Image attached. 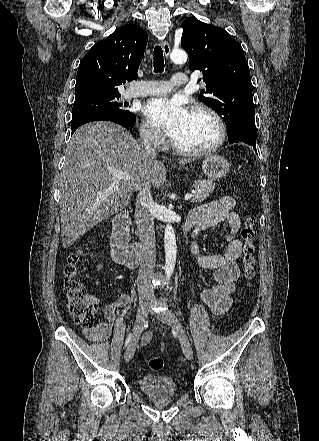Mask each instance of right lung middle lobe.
<instances>
[{
    "mask_svg": "<svg viewBox=\"0 0 319 441\" xmlns=\"http://www.w3.org/2000/svg\"><path fill=\"white\" fill-rule=\"evenodd\" d=\"M120 95L99 96L75 100L72 108V122L92 115H113L130 126L135 125V116L126 107L119 103Z\"/></svg>",
    "mask_w": 319,
    "mask_h": 441,
    "instance_id": "dd1d6c3e",
    "label": "right lung middle lobe"
}]
</instances>
